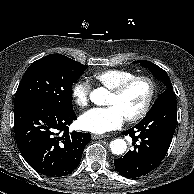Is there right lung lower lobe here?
<instances>
[{"instance_id": "right-lung-lower-lobe-1", "label": "right lung lower lobe", "mask_w": 194, "mask_h": 194, "mask_svg": "<svg viewBox=\"0 0 194 194\" xmlns=\"http://www.w3.org/2000/svg\"><path fill=\"white\" fill-rule=\"evenodd\" d=\"M76 119L73 107L57 109L35 101L14 105L15 138L26 162L51 177L75 170L91 141L90 133L68 132V125Z\"/></svg>"}]
</instances>
